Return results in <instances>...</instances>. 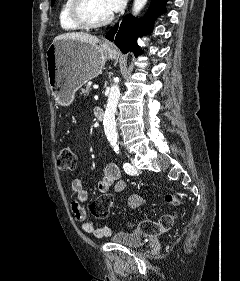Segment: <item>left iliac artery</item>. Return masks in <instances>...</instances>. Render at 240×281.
Instances as JSON below:
<instances>
[{
	"label": "left iliac artery",
	"instance_id": "left-iliac-artery-1",
	"mask_svg": "<svg viewBox=\"0 0 240 281\" xmlns=\"http://www.w3.org/2000/svg\"><path fill=\"white\" fill-rule=\"evenodd\" d=\"M112 146L114 148V151L116 153H119V147L116 143H112ZM123 169L124 171L129 174V175H135L136 174V170L135 168L130 164V163H124L123 165Z\"/></svg>",
	"mask_w": 240,
	"mask_h": 281
}]
</instances>
